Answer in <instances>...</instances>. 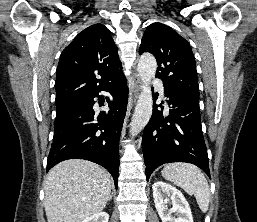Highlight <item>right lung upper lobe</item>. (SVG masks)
<instances>
[{"label":"right lung upper lobe","mask_w":257,"mask_h":222,"mask_svg":"<svg viewBox=\"0 0 257 222\" xmlns=\"http://www.w3.org/2000/svg\"><path fill=\"white\" fill-rule=\"evenodd\" d=\"M110 31L94 24L80 32L60 55L56 70V104L85 100L121 74ZM101 76L100 80L95 75ZM99 82V85H97Z\"/></svg>","instance_id":"obj_1"}]
</instances>
